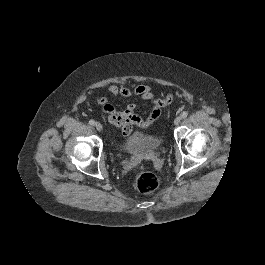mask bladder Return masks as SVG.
<instances>
[{
  "label": "bladder",
  "mask_w": 265,
  "mask_h": 265,
  "mask_svg": "<svg viewBox=\"0 0 265 265\" xmlns=\"http://www.w3.org/2000/svg\"><path fill=\"white\" fill-rule=\"evenodd\" d=\"M163 142V138L151 133L136 132L124 146L130 153H149L158 149Z\"/></svg>",
  "instance_id": "1"
}]
</instances>
